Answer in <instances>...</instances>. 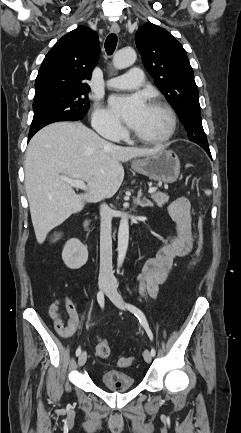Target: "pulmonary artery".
Returning a JSON list of instances; mask_svg holds the SVG:
<instances>
[{"label": "pulmonary artery", "mask_w": 241, "mask_h": 433, "mask_svg": "<svg viewBox=\"0 0 241 433\" xmlns=\"http://www.w3.org/2000/svg\"><path fill=\"white\" fill-rule=\"evenodd\" d=\"M143 84V72L138 67L131 68L127 74L106 81L109 88L119 90H134Z\"/></svg>", "instance_id": "1"}]
</instances>
